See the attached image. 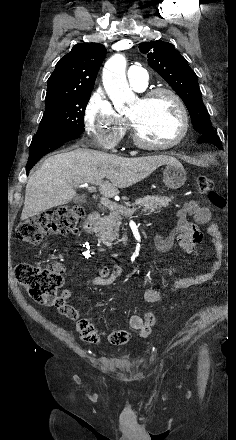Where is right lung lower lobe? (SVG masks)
I'll return each mask as SVG.
<instances>
[{
    "instance_id": "98d812e1",
    "label": "right lung lower lobe",
    "mask_w": 236,
    "mask_h": 440,
    "mask_svg": "<svg viewBox=\"0 0 236 440\" xmlns=\"http://www.w3.org/2000/svg\"><path fill=\"white\" fill-rule=\"evenodd\" d=\"M80 134L76 133H65L58 135H34L30 149H29V160L26 165V173L47 153L56 150L64 143L77 139Z\"/></svg>"
}]
</instances>
